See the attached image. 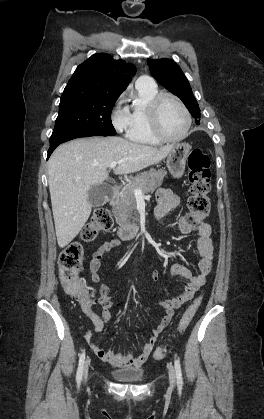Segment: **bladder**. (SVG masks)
I'll list each match as a JSON object with an SVG mask.
<instances>
[{
    "label": "bladder",
    "mask_w": 264,
    "mask_h": 419,
    "mask_svg": "<svg viewBox=\"0 0 264 419\" xmlns=\"http://www.w3.org/2000/svg\"><path fill=\"white\" fill-rule=\"evenodd\" d=\"M111 376L120 382L136 383L145 378V372L141 368L130 367L125 369L112 370Z\"/></svg>",
    "instance_id": "bladder-1"
}]
</instances>
